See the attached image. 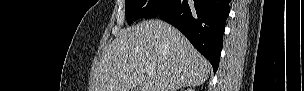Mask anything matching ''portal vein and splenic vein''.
Instances as JSON below:
<instances>
[{"instance_id":"portal-vein-and-splenic-vein-1","label":"portal vein and splenic vein","mask_w":304,"mask_h":91,"mask_svg":"<svg viewBox=\"0 0 304 91\" xmlns=\"http://www.w3.org/2000/svg\"><path fill=\"white\" fill-rule=\"evenodd\" d=\"M145 69H146V73L148 75H151L153 73V71H154L152 67H148V66H146Z\"/></svg>"}]
</instances>
